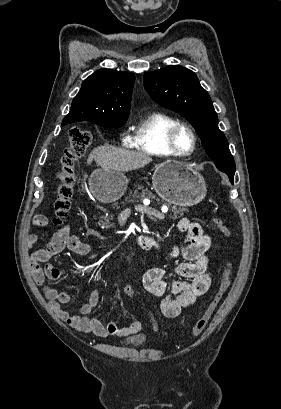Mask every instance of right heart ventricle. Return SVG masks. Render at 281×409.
Masks as SVG:
<instances>
[{
  "label": "right heart ventricle",
  "mask_w": 281,
  "mask_h": 409,
  "mask_svg": "<svg viewBox=\"0 0 281 409\" xmlns=\"http://www.w3.org/2000/svg\"><path fill=\"white\" fill-rule=\"evenodd\" d=\"M181 121L175 116L155 111L146 115L133 128L127 139V147L155 158L178 156L170 147L169 136L172 128Z\"/></svg>",
  "instance_id": "e07e8e85"
}]
</instances>
